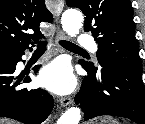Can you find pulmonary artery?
Returning a JSON list of instances; mask_svg holds the SVG:
<instances>
[{
  "label": "pulmonary artery",
  "mask_w": 145,
  "mask_h": 124,
  "mask_svg": "<svg viewBox=\"0 0 145 124\" xmlns=\"http://www.w3.org/2000/svg\"><path fill=\"white\" fill-rule=\"evenodd\" d=\"M78 45L83 48H88L93 53L97 52V46L93 41V37L89 34L83 33L78 39Z\"/></svg>",
  "instance_id": "e3ab8cb5"
}]
</instances>
